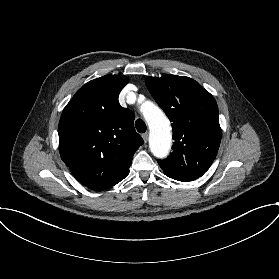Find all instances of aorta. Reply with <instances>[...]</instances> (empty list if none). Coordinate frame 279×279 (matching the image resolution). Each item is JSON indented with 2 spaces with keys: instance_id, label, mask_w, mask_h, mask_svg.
<instances>
[{
  "instance_id": "aorta-1",
  "label": "aorta",
  "mask_w": 279,
  "mask_h": 279,
  "mask_svg": "<svg viewBox=\"0 0 279 279\" xmlns=\"http://www.w3.org/2000/svg\"><path fill=\"white\" fill-rule=\"evenodd\" d=\"M143 114L150 128V149L154 156L164 158L171 148L170 123L160 108L153 103L143 107Z\"/></svg>"
}]
</instances>
